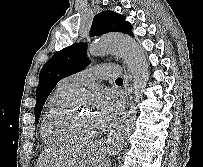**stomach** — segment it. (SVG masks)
<instances>
[{
    "instance_id": "obj_1",
    "label": "stomach",
    "mask_w": 203,
    "mask_h": 167,
    "mask_svg": "<svg viewBox=\"0 0 203 167\" xmlns=\"http://www.w3.org/2000/svg\"><path fill=\"white\" fill-rule=\"evenodd\" d=\"M103 153L101 150H97V152L93 155V159L91 160L90 167H99L100 163L103 161Z\"/></svg>"
}]
</instances>
